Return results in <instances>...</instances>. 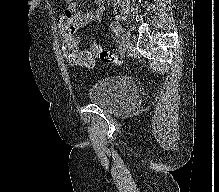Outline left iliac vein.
Here are the masks:
<instances>
[{
	"mask_svg": "<svg viewBox=\"0 0 219 192\" xmlns=\"http://www.w3.org/2000/svg\"><path fill=\"white\" fill-rule=\"evenodd\" d=\"M118 36L120 38L121 48L123 52H126L132 48V43L124 29L118 28Z\"/></svg>",
	"mask_w": 219,
	"mask_h": 192,
	"instance_id": "left-iliac-vein-1",
	"label": "left iliac vein"
}]
</instances>
